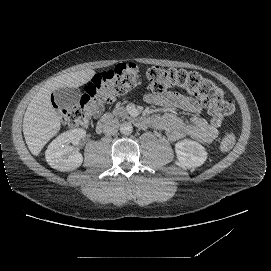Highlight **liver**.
<instances>
[{"label": "liver", "mask_w": 271, "mask_h": 271, "mask_svg": "<svg viewBox=\"0 0 271 271\" xmlns=\"http://www.w3.org/2000/svg\"><path fill=\"white\" fill-rule=\"evenodd\" d=\"M94 75L91 69L61 74L50 79L33 96L23 118V133L33 155H38L44 145L59 129L58 116L51 106L50 93L60 87H78Z\"/></svg>", "instance_id": "6515ba94"}]
</instances>
